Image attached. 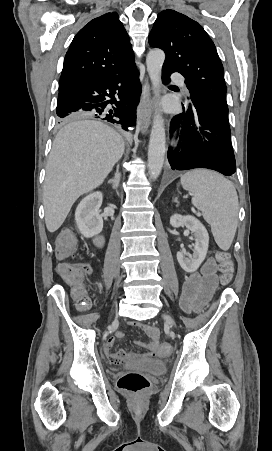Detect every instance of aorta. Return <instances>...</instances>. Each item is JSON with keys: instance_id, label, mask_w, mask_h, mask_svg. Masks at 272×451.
Wrapping results in <instances>:
<instances>
[{"instance_id": "aorta-1", "label": "aorta", "mask_w": 272, "mask_h": 451, "mask_svg": "<svg viewBox=\"0 0 272 451\" xmlns=\"http://www.w3.org/2000/svg\"><path fill=\"white\" fill-rule=\"evenodd\" d=\"M165 54L163 50H150L146 58L147 72L152 84L155 98L160 96L161 70L164 64ZM166 136L164 120L160 114L154 116L148 148V172L150 180H157L164 164Z\"/></svg>"}]
</instances>
